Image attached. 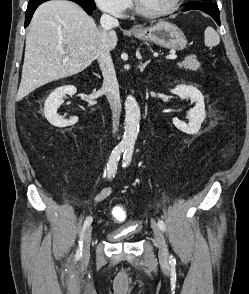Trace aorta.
I'll return each instance as SVG.
<instances>
[{"label": "aorta", "mask_w": 249, "mask_h": 294, "mask_svg": "<svg viewBox=\"0 0 249 294\" xmlns=\"http://www.w3.org/2000/svg\"><path fill=\"white\" fill-rule=\"evenodd\" d=\"M140 123V108L136 99L129 95L125 100V122L122 145L133 148L136 142Z\"/></svg>", "instance_id": "obj_1"}]
</instances>
